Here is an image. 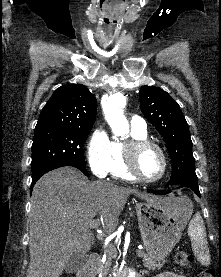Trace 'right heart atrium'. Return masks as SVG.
Listing matches in <instances>:
<instances>
[{
	"mask_svg": "<svg viewBox=\"0 0 221 277\" xmlns=\"http://www.w3.org/2000/svg\"><path fill=\"white\" fill-rule=\"evenodd\" d=\"M111 140L103 127L96 128L86 145V157L91 171L98 177L107 173L111 158Z\"/></svg>",
	"mask_w": 221,
	"mask_h": 277,
	"instance_id": "obj_1",
	"label": "right heart atrium"
}]
</instances>
